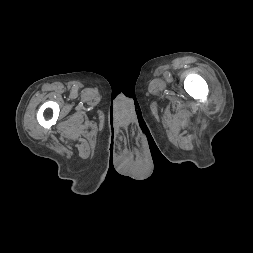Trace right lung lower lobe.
Listing matches in <instances>:
<instances>
[{
	"instance_id": "1",
	"label": "right lung lower lobe",
	"mask_w": 253,
	"mask_h": 253,
	"mask_svg": "<svg viewBox=\"0 0 253 253\" xmlns=\"http://www.w3.org/2000/svg\"><path fill=\"white\" fill-rule=\"evenodd\" d=\"M151 153H152L153 158H162L163 157V155L161 154V152L158 150V148L156 146L151 148Z\"/></svg>"
}]
</instances>
